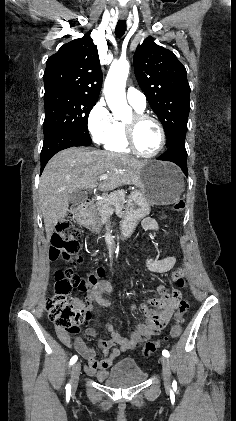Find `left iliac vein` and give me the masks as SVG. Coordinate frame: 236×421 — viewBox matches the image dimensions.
Listing matches in <instances>:
<instances>
[{
  "instance_id": "1",
  "label": "left iliac vein",
  "mask_w": 236,
  "mask_h": 421,
  "mask_svg": "<svg viewBox=\"0 0 236 421\" xmlns=\"http://www.w3.org/2000/svg\"><path fill=\"white\" fill-rule=\"evenodd\" d=\"M162 364V370H163V379L165 381V386H168L171 381V364L167 357L161 356L159 358Z\"/></svg>"
}]
</instances>
